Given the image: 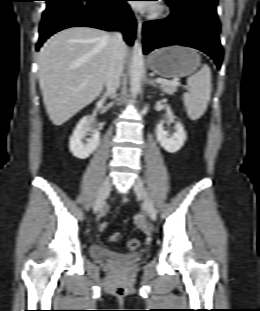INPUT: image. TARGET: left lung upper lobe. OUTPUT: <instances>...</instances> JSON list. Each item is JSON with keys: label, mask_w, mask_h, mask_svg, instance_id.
I'll list each match as a JSON object with an SVG mask.
<instances>
[{"label": "left lung upper lobe", "mask_w": 260, "mask_h": 311, "mask_svg": "<svg viewBox=\"0 0 260 311\" xmlns=\"http://www.w3.org/2000/svg\"><path fill=\"white\" fill-rule=\"evenodd\" d=\"M167 2L172 5L195 3L209 9L211 12L217 15L216 5L218 3V0H167Z\"/></svg>", "instance_id": "1"}]
</instances>
